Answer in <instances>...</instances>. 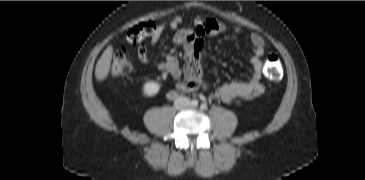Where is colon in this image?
<instances>
[{"label":"colon","mask_w":365,"mask_h":180,"mask_svg":"<svg viewBox=\"0 0 365 180\" xmlns=\"http://www.w3.org/2000/svg\"><path fill=\"white\" fill-rule=\"evenodd\" d=\"M154 22H144L131 28L126 36L128 45L134 46L141 44L152 37L156 31ZM134 71V61L125 49L117 51L111 61V73L114 77L126 76ZM265 71L269 79L277 81L282 76V63L280 57L269 54L265 59Z\"/></svg>","instance_id":"colon-1"}]
</instances>
